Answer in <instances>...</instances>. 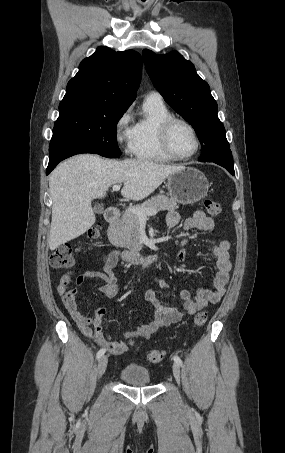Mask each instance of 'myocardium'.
Masks as SVG:
<instances>
[{"label": "myocardium", "instance_id": "obj_1", "mask_svg": "<svg viewBox=\"0 0 285 453\" xmlns=\"http://www.w3.org/2000/svg\"><path fill=\"white\" fill-rule=\"evenodd\" d=\"M179 123L187 126L190 129V131L192 132L194 139H195L194 151L191 154L185 155V156L176 153L171 145L172 129L176 124H179ZM159 138H160V143H161L163 150L171 158L176 159V160H188V159L194 157L200 148V138H199L196 128L189 121H187L183 118H178V117L172 116V117L166 119L160 127Z\"/></svg>", "mask_w": 285, "mask_h": 453}]
</instances>
